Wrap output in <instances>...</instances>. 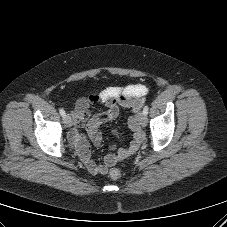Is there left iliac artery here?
Returning <instances> with one entry per match:
<instances>
[{
	"label": "left iliac artery",
	"mask_w": 227,
	"mask_h": 227,
	"mask_svg": "<svg viewBox=\"0 0 227 227\" xmlns=\"http://www.w3.org/2000/svg\"><path fill=\"white\" fill-rule=\"evenodd\" d=\"M148 110H149L148 106H145L144 109H143V113L145 115H147L148 114Z\"/></svg>",
	"instance_id": "left-iliac-artery-1"
}]
</instances>
